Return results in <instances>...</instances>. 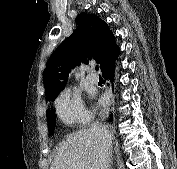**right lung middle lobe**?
Here are the masks:
<instances>
[{
	"mask_svg": "<svg viewBox=\"0 0 177 169\" xmlns=\"http://www.w3.org/2000/svg\"><path fill=\"white\" fill-rule=\"evenodd\" d=\"M47 119H48L49 134L51 135L54 132L56 122H55V116L52 114L50 110L47 111Z\"/></svg>",
	"mask_w": 177,
	"mask_h": 169,
	"instance_id": "dd1d6c3e",
	"label": "right lung middle lobe"
}]
</instances>
